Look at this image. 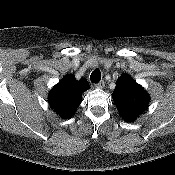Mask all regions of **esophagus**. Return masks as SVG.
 I'll list each match as a JSON object with an SVG mask.
<instances>
[{
	"label": "esophagus",
	"instance_id": "esophagus-1",
	"mask_svg": "<svg viewBox=\"0 0 175 175\" xmlns=\"http://www.w3.org/2000/svg\"><path fill=\"white\" fill-rule=\"evenodd\" d=\"M95 87L98 88V89H103L105 87V82L100 81L97 84H95Z\"/></svg>",
	"mask_w": 175,
	"mask_h": 175
}]
</instances>
